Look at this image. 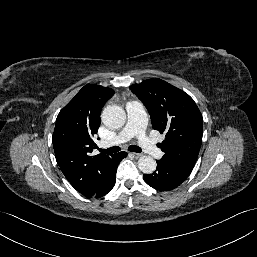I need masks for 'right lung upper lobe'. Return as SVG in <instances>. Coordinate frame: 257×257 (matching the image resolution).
<instances>
[{
	"instance_id": "cb5924a9",
	"label": "right lung upper lobe",
	"mask_w": 257,
	"mask_h": 257,
	"mask_svg": "<svg viewBox=\"0 0 257 257\" xmlns=\"http://www.w3.org/2000/svg\"><path fill=\"white\" fill-rule=\"evenodd\" d=\"M114 91L87 84L60 111L53 133L56 161L71 185L82 195L94 193L111 156H92L93 141L101 123L104 104Z\"/></svg>"
}]
</instances>
